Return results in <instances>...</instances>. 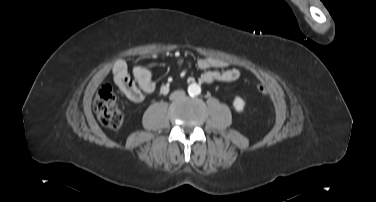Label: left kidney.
<instances>
[{
    "label": "left kidney",
    "mask_w": 376,
    "mask_h": 202,
    "mask_svg": "<svg viewBox=\"0 0 376 202\" xmlns=\"http://www.w3.org/2000/svg\"><path fill=\"white\" fill-rule=\"evenodd\" d=\"M233 106L236 109V111L241 112L244 109L245 103L242 98L237 96L234 99Z\"/></svg>",
    "instance_id": "1"
}]
</instances>
